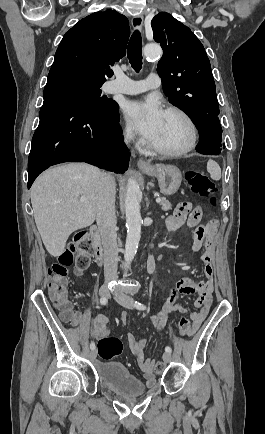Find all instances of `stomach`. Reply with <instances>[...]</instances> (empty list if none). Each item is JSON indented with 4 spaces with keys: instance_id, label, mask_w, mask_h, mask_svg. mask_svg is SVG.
Listing matches in <instances>:
<instances>
[{
    "instance_id": "0dacf381",
    "label": "stomach",
    "mask_w": 265,
    "mask_h": 434,
    "mask_svg": "<svg viewBox=\"0 0 265 434\" xmlns=\"http://www.w3.org/2000/svg\"><path fill=\"white\" fill-rule=\"evenodd\" d=\"M140 170H142L143 174L157 178L160 192L165 196H172L180 188L182 174L176 166L156 164V166H141Z\"/></svg>"
}]
</instances>
